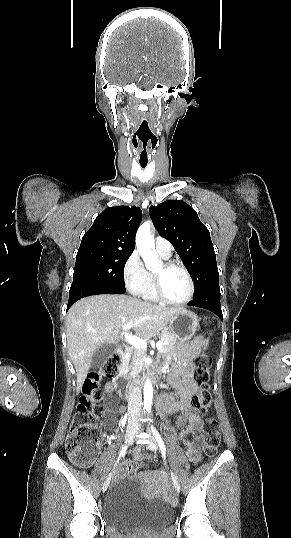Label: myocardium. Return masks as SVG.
<instances>
[{"instance_id": "obj_1", "label": "myocardium", "mask_w": 291, "mask_h": 538, "mask_svg": "<svg viewBox=\"0 0 291 538\" xmlns=\"http://www.w3.org/2000/svg\"><path fill=\"white\" fill-rule=\"evenodd\" d=\"M162 268H163V271H169L173 269L182 271L188 280L189 290L184 299L179 300V301L171 300L164 293L161 275L157 273H153L152 274L153 286H154L155 294L158 297V299L166 304L175 305V306H180V305H184L188 303L194 295V281L190 272L183 265L179 263H175V262H169V261L164 262L162 264Z\"/></svg>"}]
</instances>
